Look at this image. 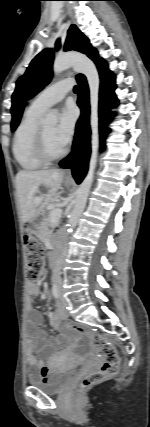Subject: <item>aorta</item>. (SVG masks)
<instances>
[{
  "label": "aorta",
  "mask_w": 150,
  "mask_h": 427,
  "mask_svg": "<svg viewBox=\"0 0 150 427\" xmlns=\"http://www.w3.org/2000/svg\"><path fill=\"white\" fill-rule=\"evenodd\" d=\"M72 67L76 72L85 75L90 96V127H91V156L89 169L86 177L81 182L74 202L72 213L69 217V228H74L83 213L86 201L92 186L94 173L98 161L99 152V87L100 79L95 64L85 55L80 53H67L58 55L53 64L54 75H58L66 69ZM57 116L54 112L48 113L42 120L46 127H54L57 124Z\"/></svg>",
  "instance_id": "obj_1"
}]
</instances>
